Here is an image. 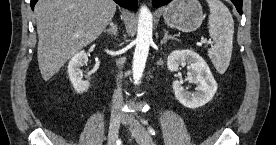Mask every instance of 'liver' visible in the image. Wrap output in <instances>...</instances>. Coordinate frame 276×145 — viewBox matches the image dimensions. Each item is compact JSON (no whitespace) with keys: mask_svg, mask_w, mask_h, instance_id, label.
Here are the masks:
<instances>
[{"mask_svg":"<svg viewBox=\"0 0 276 145\" xmlns=\"http://www.w3.org/2000/svg\"><path fill=\"white\" fill-rule=\"evenodd\" d=\"M37 59L44 81L103 32L116 12L113 0H39L35 5Z\"/></svg>","mask_w":276,"mask_h":145,"instance_id":"6515ba94","label":"liver"}]
</instances>
